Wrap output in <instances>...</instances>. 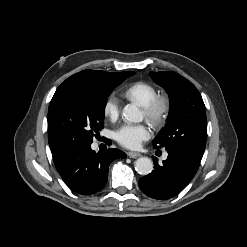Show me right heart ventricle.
I'll list each match as a JSON object with an SVG mask.
<instances>
[{
  "label": "right heart ventricle",
  "instance_id": "e07e8e85",
  "mask_svg": "<svg viewBox=\"0 0 247 247\" xmlns=\"http://www.w3.org/2000/svg\"><path fill=\"white\" fill-rule=\"evenodd\" d=\"M157 95L156 87L145 81L134 82L124 90V96L127 99L142 107L149 104Z\"/></svg>",
  "mask_w": 247,
  "mask_h": 247
}]
</instances>
